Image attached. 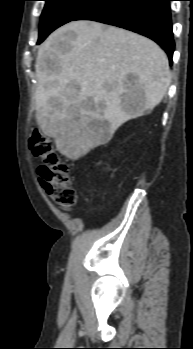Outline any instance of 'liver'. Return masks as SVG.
<instances>
[{"label": "liver", "instance_id": "1", "mask_svg": "<svg viewBox=\"0 0 193 349\" xmlns=\"http://www.w3.org/2000/svg\"><path fill=\"white\" fill-rule=\"evenodd\" d=\"M35 70L37 123L72 160L151 112L170 84L167 56L155 42L91 21L54 31L38 50Z\"/></svg>", "mask_w": 193, "mask_h": 349}]
</instances>
